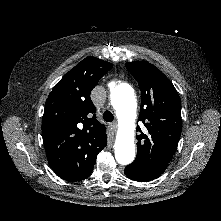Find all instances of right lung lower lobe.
Masks as SVG:
<instances>
[{
    "instance_id": "98d812e1",
    "label": "right lung lower lobe",
    "mask_w": 221,
    "mask_h": 221,
    "mask_svg": "<svg viewBox=\"0 0 221 221\" xmlns=\"http://www.w3.org/2000/svg\"><path fill=\"white\" fill-rule=\"evenodd\" d=\"M92 170H93V166H92V168H91L90 174H91ZM90 174H89V175H90ZM89 175H88V176H89Z\"/></svg>"
}]
</instances>
